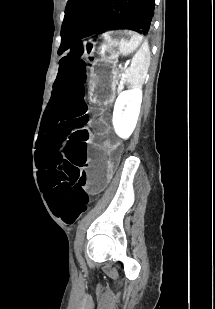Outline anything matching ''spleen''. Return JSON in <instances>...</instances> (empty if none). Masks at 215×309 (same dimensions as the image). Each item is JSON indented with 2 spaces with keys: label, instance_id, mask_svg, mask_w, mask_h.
<instances>
[{
  "label": "spleen",
  "instance_id": "obj_1",
  "mask_svg": "<svg viewBox=\"0 0 215 309\" xmlns=\"http://www.w3.org/2000/svg\"><path fill=\"white\" fill-rule=\"evenodd\" d=\"M150 64V50L148 42H143L141 48L137 50L132 58L129 68H126L125 74L128 82L133 88L141 86L145 80L148 66Z\"/></svg>",
  "mask_w": 215,
  "mask_h": 309
}]
</instances>
